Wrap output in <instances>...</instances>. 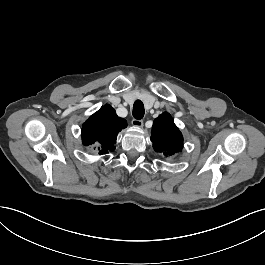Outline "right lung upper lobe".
<instances>
[{
    "label": "right lung upper lobe",
    "instance_id": "1",
    "mask_svg": "<svg viewBox=\"0 0 265 265\" xmlns=\"http://www.w3.org/2000/svg\"><path fill=\"white\" fill-rule=\"evenodd\" d=\"M127 127L125 119L116 115L110 105L101 107L82 126V143L99 155L115 150L117 134Z\"/></svg>",
    "mask_w": 265,
    "mask_h": 265
}]
</instances>
